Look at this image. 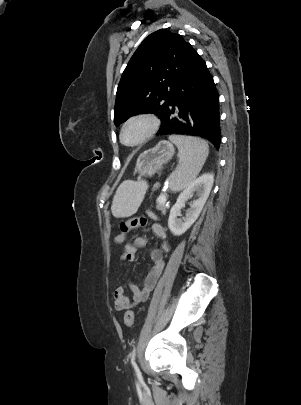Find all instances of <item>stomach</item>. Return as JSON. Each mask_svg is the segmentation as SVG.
Listing matches in <instances>:
<instances>
[{"mask_svg": "<svg viewBox=\"0 0 301 405\" xmlns=\"http://www.w3.org/2000/svg\"><path fill=\"white\" fill-rule=\"evenodd\" d=\"M174 146L168 141H160L155 147L141 153L135 171L139 177H150L174 155Z\"/></svg>", "mask_w": 301, "mask_h": 405, "instance_id": "0dacf381", "label": "stomach"}]
</instances>
